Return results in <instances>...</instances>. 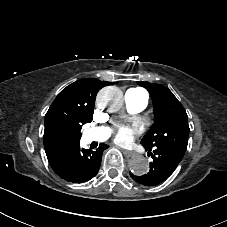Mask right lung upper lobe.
<instances>
[{"label":"right lung upper lobe","mask_w":227,"mask_h":227,"mask_svg":"<svg viewBox=\"0 0 227 227\" xmlns=\"http://www.w3.org/2000/svg\"><path fill=\"white\" fill-rule=\"evenodd\" d=\"M113 84V82L100 81L95 78H83L70 84L53 101L45 116V122L53 110L63 101L76 100L84 104L94 105L97 92L102 87ZM43 140L48 161H52L61 151L73 145L49 135L46 130Z\"/></svg>","instance_id":"right-lung-upper-lobe-1"}]
</instances>
